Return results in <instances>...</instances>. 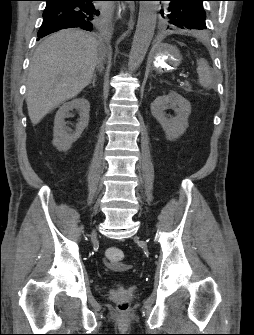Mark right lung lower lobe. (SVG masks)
<instances>
[{
	"label": "right lung lower lobe",
	"instance_id": "98d812e1",
	"mask_svg": "<svg viewBox=\"0 0 254 335\" xmlns=\"http://www.w3.org/2000/svg\"><path fill=\"white\" fill-rule=\"evenodd\" d=\"M43 23L38 31V40L48 34L65 28L79 27L91 31L97 0H45Z\"/></svg>",
	"mask_w": 254,
	"mask_h": 335
}]
</instances>
